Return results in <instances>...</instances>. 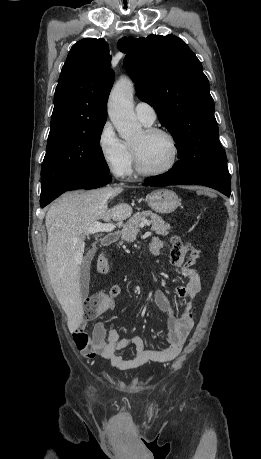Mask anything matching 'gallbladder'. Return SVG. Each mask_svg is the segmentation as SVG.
Wrapping results in <instances>:
<instances>
[{
  "mask_svg": "<svg viewBox=\"0 0 261 459\" xmlns=\"http://www.w3.org/2000/svg\"><path fill=\"white\" fill-rule=\"evenodd\" d=\"M94 255V250H90L83 258L79 270V283L82 298H85L89 293L90 281V264Z\"/></svg>",
  "mask_w": 261,
  "mask_h": 459,
  "instance_id": "1",
  "label": "gallbladder"
}]
</instances>
